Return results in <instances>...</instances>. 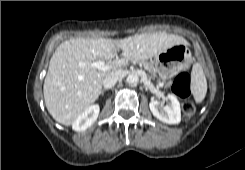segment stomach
Masks as SVG:
<instances>
[{"label": "stomach", "mask_w": 245, "mask_h": 170, "mask_svg": "<svg viewBox=\"0 0 245 170\" xmlns=\"http://www.w3.org/2000/svg\"><path fill=\"white\" fill-rule=\"evenodd\" d=\"M192 62V56L186 44H178L154 57V66L162 79H169L186 70Z\"/></svg>", "instance_id": "obj_1"}]
</instances>
